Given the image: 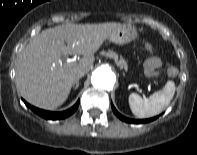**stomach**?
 <instances>
[{"label": "stomach", "instance_id": "obj_1", "mask_svg": "<svg viewBox=\"0 0 197 155\" xmlns=\"http://www.w3.org/2000/svg\"><path fill=\"white\" fill-rule=\"evenodd\" d=\"M138 38L136 29L131 25L123 24L120 27L114 29L108 36L111 42L116 44H127Z\"/></svg>", "mask_w": 197, "mask_h": 155}]
</instances>
